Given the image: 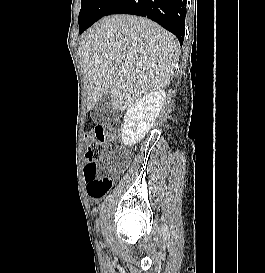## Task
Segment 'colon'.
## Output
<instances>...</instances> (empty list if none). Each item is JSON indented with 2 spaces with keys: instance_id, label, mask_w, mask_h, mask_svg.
Here are the masks:
<instances>
[{
  "instance_id": "colon-1",
  "label": "colon",
  "mask_w": 265,
  "mask_h": 273,
  "mask_svg": "<svg viewBox=\"0 0 265 273\" xmlns=\"http://www.w3.org/2000/svg\"><path fill=\"white\" fill-rule=\"evenodd\" d=\"M118 128V121L110 122L107 125H97L89 136V147L86 152L89 162L84 167V174L87 182V191L90 196L102 198L112 187V179L110 177H97L99 167L96 161L102 151L112 147ZM128 162L127 154H120L117 158V168L119 170L124 169Z\"/></svg>"
}]
</instances>
